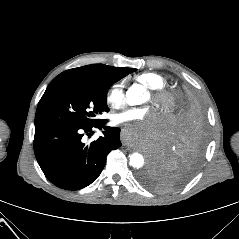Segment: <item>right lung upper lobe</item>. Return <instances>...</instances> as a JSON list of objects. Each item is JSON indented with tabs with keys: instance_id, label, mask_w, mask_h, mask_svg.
Returning <instances> with one entry per match:
<instances>
[{
	"instance_id": "1",
	"label": "right lung upper lobe",
	"mask_w": 239,
	"mask_h": 239,
	"mask_svg": "<svg viewBox=\"0 0 239 239\" xmlns=\"http://www.w3.org/2000/svg\"><path fill=\"white\" fill-rule=\"evenodd\" d=\"M133 70V68H118L103 64H91L66 70L54 78L53 81L69 78L105 79L112 77H125L129 73L134 72Z\"/></svg>"
}]
</instances>
